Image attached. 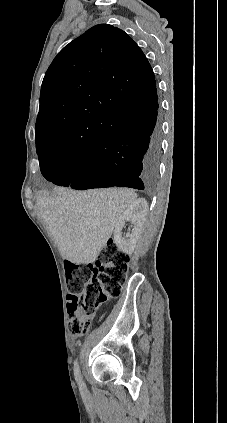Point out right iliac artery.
I'll list each match as a JSON object with an SVG mask.
<instances>
[{
	"mask_svg": "<svg viewBox=\"0 0 227 423\" xmlns=\"http://www.w3.org/2000/svg\"><path fill=\"white\" fill-rule=\"evenodd\" d=\"M74 376H75V380L77 381L79 388L83 389L85 384L83 382L77 360L74 363Z\"/></svg>",
	"mask_w": 227,
	"mask_h": 423,
	"instance_id": "1",
	"label": "right iliac artery"
}]
</instances>
